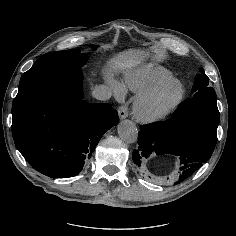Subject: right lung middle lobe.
Instances as JSON below:
<instances>
[{"mask_svg": "<svg viewBox=\"0 0 236 236\" xmlns=\"http://www.w3.org/2000/svg\"><path fill=\"white\" fill-rule=\"evenodd\" d=\"M86 61L87 55L76 49L47 53L22 75L19 89L42 78L80 69Z\"/></svg>", "mask_w": 236, "mask_h": 236, "instance_id": "right-lung-middle-lobe-1", "label": "right lung middle lobe"}]
</instances>
